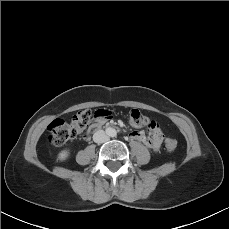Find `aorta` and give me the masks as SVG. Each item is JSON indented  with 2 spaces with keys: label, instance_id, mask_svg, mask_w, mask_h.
Segmentation results:
<instances>
[{
  "label": "aorta",
  "instance_id": "obj_1",
  "mask_svg": "<svg viewBox=\"0 0 229 229\" xmlns=\"http://www.w3.org/2000/svg\"><path fill=\"white\" fill-rule=\"evenodd\" d=\"M107 134L110 137H114V136H116L117 132H116V130L114 128H108L107 129Z\"/></svg>",
  "mask_w": 229,
  "mask_h": 229
}]
</instances>
